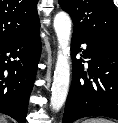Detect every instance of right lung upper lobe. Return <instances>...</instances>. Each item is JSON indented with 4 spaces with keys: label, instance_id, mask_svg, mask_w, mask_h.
Here are the masks:
<instances>
[{
    "label": "right lung upper lobe",
    "instance_id": "right-lung-upper-lobe-1",
    "mask_svg": "<svg viewBox=\"0 0 118 123\" xmlns=\"http://www.w3.org/2000/svg\"><path fill=\"white\" fill-rule=\"evenodd\" d=\"M38 0H0V44L20 40L39 30Z\"/></svg>",
    "mask_w": 118,
    "mask_h": 123
}]
</instances>
